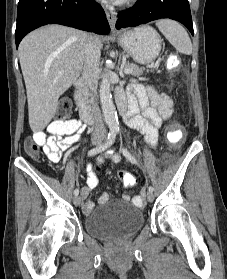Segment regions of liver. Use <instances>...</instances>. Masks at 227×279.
I'll return each mask as SVG.
<instances>
[{"instance_id":"1","label":"liver","mask_w":227,"mask_h":279,"mask_svg":"<svg viewBox=\"0 0 227 279\" xmlns=\"http://www.w3.org/2000/svg\"><path fill=\"white\" fill-rule=\"evenodd\" d=\"M93 38L101 48L102 39ZM88 39L82 31L47 25L21 41L18 53L33 132H40L48 125L57 110L59 97L79 78Z\"/></svg>"}]
</instances>
